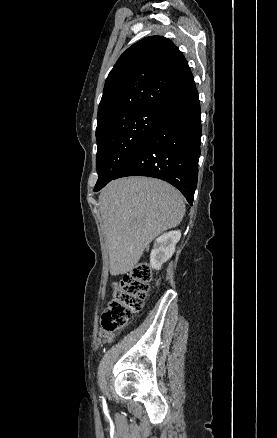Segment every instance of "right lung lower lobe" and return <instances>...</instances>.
Listing matches in <instances>:
<instances>
[{"mask_svg": "<svg viewBox=\"0 0 277 438\" xmlns=\"http://www.w3.org/2000/svg\"><path fill=\"white\" fill-rule=\"evenodd\" d=\"M157 65L162 69L170 66ZM200 139V104L194 87L166 105L146 140L113 179L136 175L159 178L178 188L192 205L197 186ZM104 186H95L94 191Z\"/></svg>", "mask_w": 277, "mask_h": 438, "instance_id": "right-lung-lower-lobe-1", "label": "right lung lower lobe"}]
</instances>
